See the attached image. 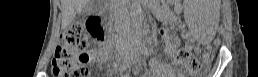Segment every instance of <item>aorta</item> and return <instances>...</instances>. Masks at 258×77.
<instances>
[{"mask_svg":"<svg viewBox=\"0 0 258 77\" xmlns=\"http://www.w3.org/2000/svg\"><path fill=\"white\" fill-rule=\"evenodd\" d=\"M130 14L135 21H137V22L141 21V19H142V8H141L140 0H133L132 1V4L130 6Z\"/></svg>","mask_w":258,"mask_h":77,"instance_id":"aorta-1","label":"aorta"}]
</instances>
